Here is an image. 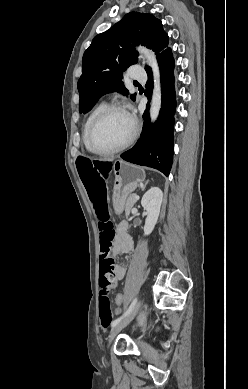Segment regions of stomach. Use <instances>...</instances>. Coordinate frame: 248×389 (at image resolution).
Instances as JSON below:
<instances>
[{"label":"stomach","mask_w":248,"mask_h":389,"mask_svg":"<svg viewBox=\"0 0 248 389\" xmlns=\"http://www.w3.org/2000/svg\"><path fill=\"white\" fill-rule=\"evenodd\" d=\"M115 181L113 189V206L119 214L125 205L128 195L145 180V171L137 165L116 160L112 163Z\"/></svg>","instance_id":"1"}]
</instances>
